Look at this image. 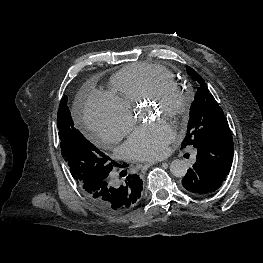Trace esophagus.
<instances>
[{"label":"esophagus","mask_w":263,"mask_h":263,"mask_svg":"<svg viewBox=\"0 0 263 263\" xmlns=\"http://www.w3.org/2000/svg\"><path fill=\"white\" fill-rule=\"evenodd\" d=\"M156 163H157V162H154V161H153V162H149V163H146L145 166H146V167H150V166H152V165H154V164H156Z\"/></svg>","instance_id":"obj_1"}]
</instances>
